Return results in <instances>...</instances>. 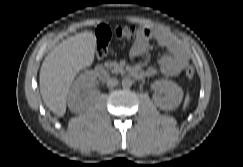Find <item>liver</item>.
<instances>
[{"label":"liver","instance_id":"1","mask_svg":"<svg viewBox=\"0 0 243 167\" xmlns=\"http://www.w3.org/2000/svg\"><path fill=\"white\" fill-rule=\"evenodd\" d=\"M95 48V35L85 31L64 40L45 57L39 75L40 92L57 116H64L69 88L76 74L93 63Z\"/></svg>","mask_w":243,"mask_h":167}]
</instances>
